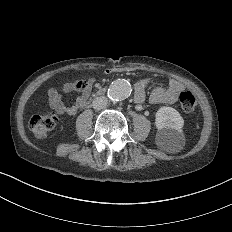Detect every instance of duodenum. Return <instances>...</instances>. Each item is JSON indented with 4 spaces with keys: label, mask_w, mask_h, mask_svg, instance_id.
Returning <instances> with one entry per match:
<instances>
[{
    "label": "duodenum",
    "mask_w": 232,
    "mask_h": 232,
    "mask_svg": "<svg viewBox=\"0 0 232 232\" xmlns=\"http://www.w3.org/2000/svg\"><path fill=\"white\" fill-rule=\"evenodd\" d=\"M104 93H105V90L102 89V90H100V91H98V92L96 93V96L103 95Z\"/></svg>",
    "instance_id": "duodenum-1"
}]
</instances>
